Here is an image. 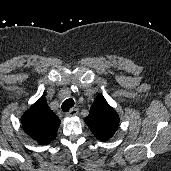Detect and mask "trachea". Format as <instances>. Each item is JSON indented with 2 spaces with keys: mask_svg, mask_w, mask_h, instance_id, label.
Returning <instances> with one entry per match:
<instances>
[{
  "mask_svg": "<svg viewBox=\"0 0 171 171\" xmlns=\"http://www.w3.org/2000/svg\"><path fill=\"white\" fill-rule=\"evenodd\" d=\"M73 106H74V101L72 99H68L63 102L61 107L64 112H68L69 109L72 108Z\"/></svg>",
  "mask_w": 171,
  "mask_h": 171,
  "instance_id": "trachea-1",
  "label": "trachea"
}]
</instances>
